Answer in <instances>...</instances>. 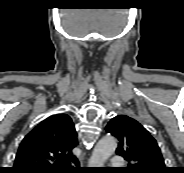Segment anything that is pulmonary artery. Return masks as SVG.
<instances>
[{
	"label": "pulmonary artery",
	"mask_w": 184,
	"mask_h": 173,
	"mask_svg": "<svg viewBox=\"0 0 184 173\" xmlns=\"http://www.w3.org/2000/svg\"><path fill=\"white\" fill-rule=\"evenodd\" d=\"M111 165L117 168H121L124 166V161L120 156H114L111 159Z\"/></svg>",
	"instance_id": "obj_1"
}]
</instances>
